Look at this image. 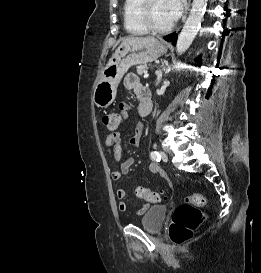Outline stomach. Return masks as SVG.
Returning a JSON list of instances; mask_svg holds the SVG:
<instances>
[{"instance_id":"obj_1","label":"stomach","mask_w":261,"mask_h":273,"mask_svg":"<svg viewBox=\"0 0 261 273\" xmlns=\"http://www.w3.org/2000/svg\"><path fill=\"white\" fill-rule=\"evenodd\" d=\"M167 52V45L156 38L135 39L121 44L107 62L94 87L93 101L97 107H108L116 97L117 87L133 65L155 61Z\"/></svg>"}]
</instances>
